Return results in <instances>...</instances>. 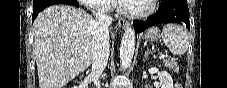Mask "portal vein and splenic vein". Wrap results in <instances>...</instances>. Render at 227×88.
<instances>
[{
    "mask_svg": "<svg viewBox=\"0 0 227 88\" xmlns=\"http://www.w3.org/2000/svg\"><path fill=\"white\" fill-rule=\"evenodd\" d=\"M165 57H167V55L162 54V53L160 54V58H165ZM74 60H75L74 58L71 59V61H74Z\"/></svg>",
    "mask_w": 227,
    "mask_h": 88,
    "instance_id": "1",
    "label": "portal vein and splenic vein"
}]
</instances>
